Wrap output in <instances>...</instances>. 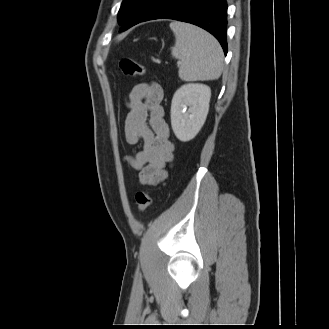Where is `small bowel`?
Masks as SVG:
<instances>
[{"mask_svg":"<svg viewBox=\"0 0 329 329\" xmlns=\"http://www.w3.org/2000/svg\"><path fill=\"white\" fill-rule=\"evenodd\" d=\"M163 89L160 84L140 83L127 94L126 142L143 146L125 160L139 172L143 184L155 185L167 177L166 166L174 161V144L164 119Z\"/></svg>","mask_w":329,"mask_h":329,"instance_id":"1","label":"small bowel"}]
</instances>
